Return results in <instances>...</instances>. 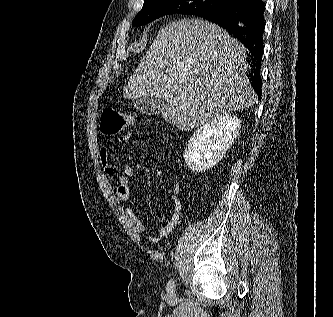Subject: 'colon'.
<instances>
[{
  "instance_id": "1",
  "label": "colon",
  "mask_w": 333,
  "mask_h": 317,
  "mask_svg": "<svg viewBox=\"0 0 333 317\" xmlns=\"http://www.w3.org/2000/svg\"><path fill=\"white\" fill-rule=\"evenodd\" d=\"M134 123L133 116L117 106L106 108L101 116L100 129L106 136L120 135Z\"/></svg>"
}]
</instances>
